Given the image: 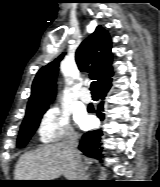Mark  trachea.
<instances>
[{"label": "trachea", "mask_w": 160, "mask_h": 187, "mask_svg": "<svg viewBox=\"0 0 160 187\" xmlns=\"http://www.w3.org/2000/svg\"><path fill=\"white\" fill-rule=\"evenodd\" d=\"M90 90L92 93H97V90H96V82L93 81L90 85Z\"/></svg>", "instance_id": "obj_1"}]
</instances>
